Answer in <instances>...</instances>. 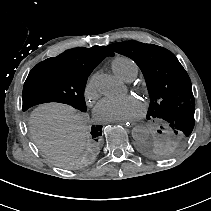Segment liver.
I'll return each instance as SVG.
<instances>
[{
    "label": "liver",
    "mask_w": 211,
    "mask_h": 211,
    "mask_svg": "<svg viewBox=\"0 0 211 211\" xmlns=\"http://www.w3.org/2000/svg\"><path fill=\"white\" fill-rule=\"evenodd\" d=\"M28 123L38 148L63 163L75 159L86 144L83 115L69 105L41 104L32 111Z\"/></svg>",
    "instance_id": "liver-1"
}]
</instances>
